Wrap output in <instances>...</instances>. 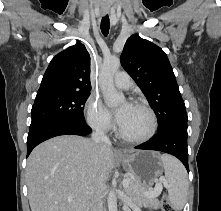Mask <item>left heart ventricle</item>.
<instances>
[{"label": "left heart ventricle", "mask_w": 221, "mask_h": 211, "mask_svg": "<svg viewBox=\"0 0 221 211\" xmlns=\"http://www.w3.org/2000/svg\"><path fill=\"white\" fill-rule=\"evenodd\" d=\"M124 104H121L118 107V110H120ZM150 125L151 120L148 113L143 108L134 104L128 105L124 116L119 123L121 131L125 135L133 138L145 136L150 129Z\"/></svg>", "instance_id": "1"}]
</instances>
